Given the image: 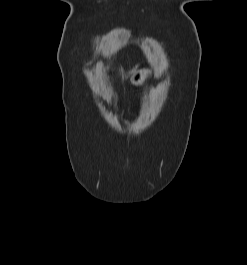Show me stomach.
<instances>
[{
    "label": "stomach",
    "mask_w": 247,
    "mask_h": 265,
    "mask_svg": "<svg viewBox=\"0 0 247 265\" xmlns=\"http://www.w3.org/2000/svg\"><path fill=\"white\" fill-rule=\"evenodd\" d=\"M153 70L149 68H143L136 71L130 78V84L133 86H142L145 81L152 76Z\"/></svg>",
    "instance_id": "stomach-1"
}]
</instances>
